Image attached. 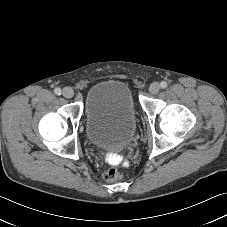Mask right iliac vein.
I'll return each instance as SVG.
<instances>
[{"instance_id":"63e3f726","label":"right iliac vein","mask_w":227,"mask_h":227,"mask_svg":"<svg viewBox=\"0 0 227 227\" xmlns=\"http://www.w3.org/2000/svg\"><path fill=\"white\" fill-rule=\"evenodd\" d=\"M62 95L65 97V98H72L73 95H74V91L71 87H65L62 91Z\"/></svg>"}]
</instances>
